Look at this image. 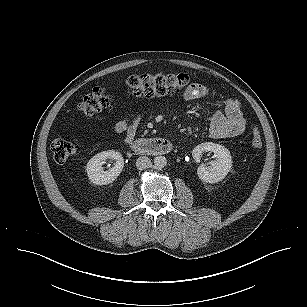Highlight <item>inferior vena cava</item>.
<instances>
[{"instance_id":"inferior-vena-cava-1","label":"inferior vena cava","mask_w":307,"mask_h":307,"mask_svg":"<svg viewBox=\"0 0 307 307\" xmlns=\"http://www.w3.org/2000/svg\"><path fill=\"white\" fill-rule=\"evenodd\" d=\"M151 166H152V162H151L150 158H148L147 156H140L136 160V167L139 170L150 168Z\"/></svg>"}]
</instances>
